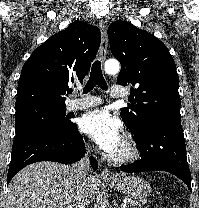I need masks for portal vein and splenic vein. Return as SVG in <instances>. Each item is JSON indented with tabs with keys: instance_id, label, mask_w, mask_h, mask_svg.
I'll return each instance as SVG.
<instances>
[{
	"instance_id": "18ae733b",
	"label": "portal vein and splenic vein",
	"mask_w": 199,
	"mask_h": 208,
	"mask_svg": "<svg viewBox=\"0 0 199 208\" xmlns=\"http://www.w3.org/2000/svg\"><path fill=\"white\" fill-rule=\"evenodd\" d=\"M121 208H126V203L121 205Z\"/></svg>"
}]
</instances>
